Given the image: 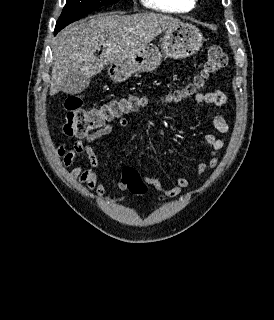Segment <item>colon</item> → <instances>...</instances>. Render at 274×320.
I'll use <instances>...</instances> for the list:
<instances>
[{
	"label": "colon",
	"mask_w": 274,
	"mask_h": 320,
	"mask_svg": "<svg viewBox=\"0 0 274 320\" xmlns=\"http://www.w3.org/2000/svg\"><path fill=\"white\" fill-rule=\"evenodd\" d=\"M228 64V57L223 49L216 45L207 50L205 67L201 79L205 80L223 70ZM202 84V80L199 81ZM82 99L70 96L64 102L65 122L63 134H90L100 131L99 120H110V123L124 119L123 115L135 109L139 102L133 100H119L103 107L82 108ZM122 183L137 195H143L147 187L135 168L127 167L123 170Z\"/></svg>",
	"instance_id": "5ec220e1"
}]
</instances>
